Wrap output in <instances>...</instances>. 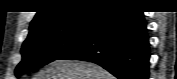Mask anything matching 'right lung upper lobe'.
<instances>
[{"label":"right lung upper lobe","mask_w":177,"mask_h":79,"mask_svg":"<svg viewBox=\"0 0 177 79\" xmlns=\"http://www.w3.org/2000/svg\"><path fill=\"white\" fill-rule=\"evenodd\" d=\"M35 15L30 31L53 22L70 20L92 13L103 14L107 9L130 5L127 0H49Z\"/></svg>","instance_id":"right-lung-upper-lobe-1"}]
</instances>
